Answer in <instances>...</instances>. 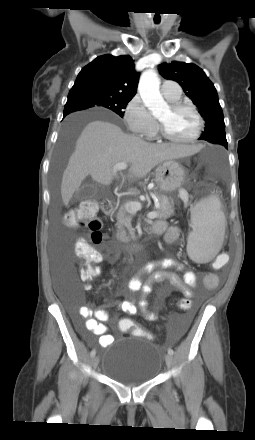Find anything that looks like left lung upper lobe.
<instances>
[{
	"label": "left lung upper lobe",
	"instance_id": "obj_1",
	"mask_svg": "<svg viewBox=\"0 0 255 440\" xmlns=\"http://www.w3.org/2000/svg\"><path fill=\"white\" fill-rule=\"evenodd\" d=\"M159 71L164 78L174 80L181 85L185 94L204 117L206 127L199 139L221 144L228 148L224 116L218 94L204 71L193 63L176 61L171 64H161Z\"/></svg>",
	"mask_w": 255,
	"mask_h": 440
}]
</instances>
